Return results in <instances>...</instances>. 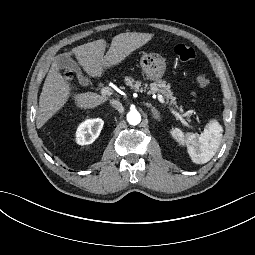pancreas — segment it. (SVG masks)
<instances>
[{
    "label": "pancreas",
    "instance_id": "pancreas-1",
    "mask_svg": "<svg viewBox=\"0 0 255 255\" xmlns=\"http://www.w3.org/2000/svg\"><path fill=\"white\" fill-rule=\"evenodd\" d=\"M127 84L133 88L136 92H143L145 90H147L148 86L145 85L144 88H141V84L139 82H137L136 84H133V80L126 78L125 79ZM152 94H157V95H162L164 96L168 101H175V97L172 96V93L170 91V86L168 84H166L165 81H162L161 83H153L150 84V90L147 91V95H152ZM174 104V103H172ZM180 112H182V108L179 109Z\"/></svg>",
    "mask_w": 255,
    "mask_h": 255
}]
</instances>
